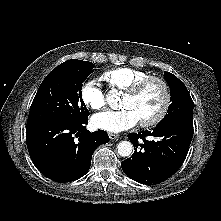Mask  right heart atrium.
Returning <instances> with one entry per match:
<instances>
[{"mask_svg": "<svg viewBox=\"0 0 221 221\" xmlns=\"http://www.w3.org/2000/svg\"><path fill=\"white\" fill-rule=\"evenodd\" d=\"M80 97L82 102L92 110L98 111L105 107V93L95 79H88L83 83Z\"/></svg>", "mask_w": 221, "mask_h": 221, "instance_id": "right-heart-atrium-1", "label": "right heart atrium"}]
</instances>
